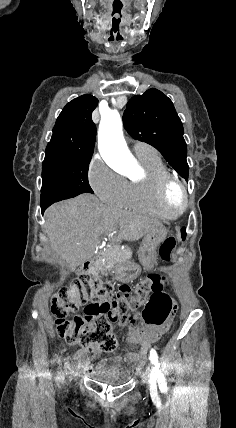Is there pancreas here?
Here are the masks:
<instances>
[{"mask_svg":"<svg viewBox=\"0 0 236 428\" xmlns=\"http://www.w3.org/2000/svg\"><path fill=\"white\" fill-rule=\"evenodd\" d=\"M113 258L115 262H127V260H131L132 258V252L131 248H125V250H121L120 246H113ZM108 266H111L110 260H107V262H101V260H98L97 264H95V268H97L98 272L100 274H103L105 270H108Z\"/></svg>","mask_w":236,"mask_h":428,"instance_id":"obj_1","label":"pancreas"}]
</instances>
